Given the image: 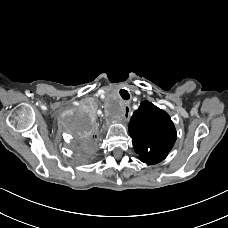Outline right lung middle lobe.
I'll use <instances>...</instances> for the list:
<instances>
[{"mask_svg":"<svg viewBox=\"0 0 228 228\" xmlns=\"http://www.w3.org/2000/svg\"><path fill=\"white\" fill-rule=\"evenodd\" d=\"M91 121L78 118L75 122V126L72 128V133L76 138L77 144L80 146H86L88 137L90 136Z\"/></svg>","mask_w":228,"mask_h":228,"instance_id":"dd1d6c3e","label":"right lung middle lobe"}]
</instances>
